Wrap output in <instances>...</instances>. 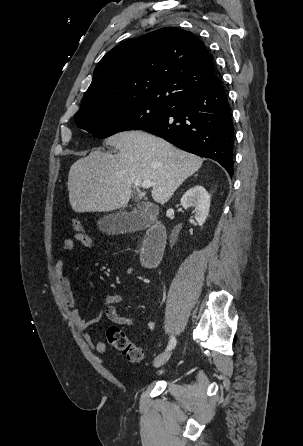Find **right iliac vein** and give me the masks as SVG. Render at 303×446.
Listing matches in <instances>:
<instances>
[{"mask_svg": "<svg viewBox=\"0 0 303 446\" xmlns=\"http://www.w3.org/2000/svg\"><path fill=\"white\" fill-rule=\"evenodd\" d=\"M171 353L170 352H166V353H162L160 355H158L153 362L154 367H160L162 365H164L170 358Z\"/></svg>", "mask_w": 303, "mask_h": 446, "instance_id": "63e3f726", "label": "right iliac vein"}]
</instances>
